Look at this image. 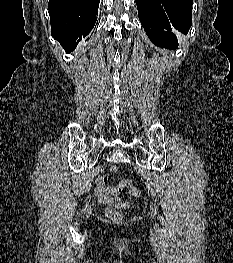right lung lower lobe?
<instances>
[{
  "mask_svg": "<svg viewBox=\"0 0 233 263\" xmlns=\"http://www.w3.org/2000/svg\"><path fill=\"white\" fill-rule=\"evenodd\" d=\"M99 0H49L51 35L66 53L93 29L97 21Z\"/></svg>",
  "mask_w": 233,
  "mask_h": 263,
  "instance_id": "obj_1",
  "label": "right lung lower lobe"
}]
</instances>
